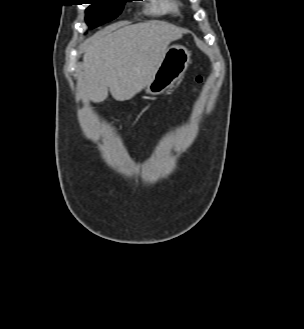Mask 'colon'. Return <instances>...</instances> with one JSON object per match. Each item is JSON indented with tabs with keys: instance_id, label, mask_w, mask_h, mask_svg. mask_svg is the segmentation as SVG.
<instances>
[{
	"instance_id": "colon-1",
	"label": "colon",
	"mask_w": 304,
	"mask_h": 329,
	"mask_svg": "<svg viewBox=\"0 0 304 329\" xmlns=\"http://www.w3.org/2000/svg\"><path fill=\"white\" fill-rule=\"evenodd\" d=\"M195 81L197 85L200 84L202 82V77L198 76Z\"/></svg>"
}]
</instances>
